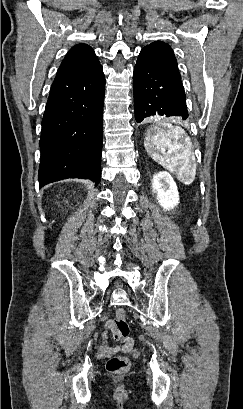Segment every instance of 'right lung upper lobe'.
Instances as JSON below:
<instances>
[{
  "mask_svg": "<svg viewBox=\"0 0 243 409\" xmlns=\"http://www.w3.org/2000/svg\"><path fill=\"white\" fill-rule=\"evenodd\" d=\"M99 66V60L93 49L86 44H79L68 51L57 75H85Z\"/></svg>",
  "mask_w": 243,
  "mask_h": 409,
  "instance_id": "1",
  "label": "right lung upper lobe"
}]
</instances>
